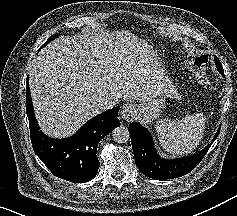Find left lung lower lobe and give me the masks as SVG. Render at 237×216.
<instances>
[{"label": "left lung lower lobe", "instance_id": "1", "mask_svg": "<svg viewBox=\"0 0 237 216\" xmlns=\"http://www.w3.org/2000/svg\"><path fill=\"white\" fill-rule=\"evenodd\" d=\"M128 130L137 167L143 174L153 179H173L189 173L200 163L212 145L210 143L201 152L190 157L165 160L158 156L150 133L140 123H131ZM219 132L220 128L214 140Z\"/></svg>", "mask_w": 237, "mask_h": 216}]
</instances>
